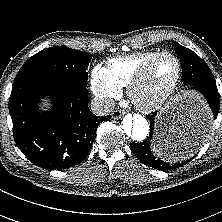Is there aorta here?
<instances>
[{
  "label": "aorta",
  "instance_id": "obj_1",
  "mask_svg": "<svg viewBox=\"0 0 222 222\" xmlns=\"http://www.w3.org/2000/svg\"><path fill=\"white\" fill-rule=\"evenodd\" d=\"M122 129L125 138L133 142H143L149 134V123L140 114H128L123 118Z\"/></svg>",
  "mask_w": 222,
  "mask_h": 222
}]
</instances>
